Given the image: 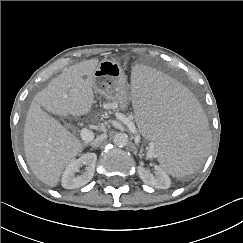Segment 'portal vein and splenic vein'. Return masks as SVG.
I'll use <instances>...</instances> for the list:
<instances>
[{
	"mask_svg": "<svg viewBox=\"0 0 243 243\" xmlns=\"http://www.w3.org/2000/svg\"><path fill=\"white\" fill-rule=\"evenodd\" d=\"M118 118H119L124 124H126V125L129 127V129H130L133 133L136 132V127H135L134 123L132 122V118H130V117H126L125 115H122V114L119 115ZM80 135H81V138H82L83 140H85V141H89V140H91V139L93 138V132L90 131V130H88V129H86V128L81 129V131H80ZM147 156H148V157H153V156H155L154 146H153V145L150 146V148H149V150H148V152H147Z\"/></svg>",
	"mask_w": 243,
	"mask_h": 243,
	"instance_id": "1",
	"label": "portal vein and splenic vein"
}]
</instances>
